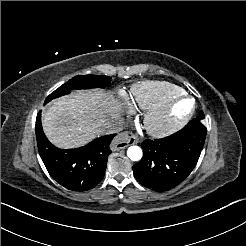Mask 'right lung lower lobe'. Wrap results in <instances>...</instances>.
<instances>
[{"label":"right lung lower lobe","instance_id":"obj_1","mask_svg":"<svg viewBox=\"0 0 246 246\" xmlns=\"http://www.w3.org/2000/svg\"><path fill=\"white\" fill-rule=\"evenodd\" d=\"M40 113L37 114L35 132L39 154L49 174L72 191L94 188L104 177L107 159L112 153L109 145L116 134L97 138L81 148L62 150L52 145L44 135Z\"/></svg>","mask_w":246,"mask_h":246}]
</instances>
